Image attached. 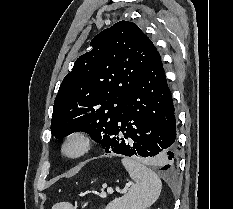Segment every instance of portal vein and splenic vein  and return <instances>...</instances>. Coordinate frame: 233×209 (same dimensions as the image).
I'll return each instance as SVG.
<instances>
[{
  "label": "portal vein and splenic vein",
  "mask_w": 233,
  "mask_h": 209,
  "mask_svg": "<svg viewBox=\"0 0 233 209\" xmlns=\"http://www.w3.org/2000/svg\"><path fill=\"white\" fill-rule=\"evenodd\" d=\"M107 192H108L109 194H112L114 191H113L112 188H107ZM126 192H127V189L125 188V189L122 191V193H126ZM101 196H102V197H105V196H106V193L102 192V193H101Z\"/></svg>",
  "instance_id": "portal-vein-and-splenic-vein-1"
}]
</instances>
